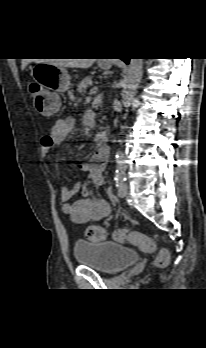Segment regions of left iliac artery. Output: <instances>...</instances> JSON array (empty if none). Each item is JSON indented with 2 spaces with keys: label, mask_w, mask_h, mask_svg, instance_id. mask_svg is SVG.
Instances as JSON below:
<instances>
[{
  "label": "left iliac artery",
  "mask_w": 206,
  "mask_h": 348,
  "mask_svg": "<svg viewBox=\"0 0 206 348\" xmlns=\"http://www.w3.org/2000/svg\"><path fill=\"white\" fill-rule=\"evenodd\" d=\"M114 180L116 183V187H120L126 181L125 170L122 167H118L117 170L115 171Z\"/></svg>",
  "instance_id": "1"
}]
</instances>
